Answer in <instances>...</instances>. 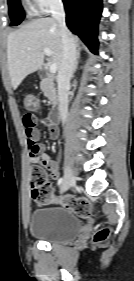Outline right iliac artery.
<instances>
[{"mask_svg":"<svg viewBox=\"0 0 134 281\" xmlns=\"http://www.w3.org/2000/svg\"><path fill=\"white\" fill-rule=\"evenodd\" d=\"M63 180H64L63 177H61V178L58 180V183H57V184H58V185H61V184L63 183Z\"/></svg>","mask_w":134,"mask_h":281,"instance_id":"82829eb1","label":"right iliac artery"}]
</instances>
